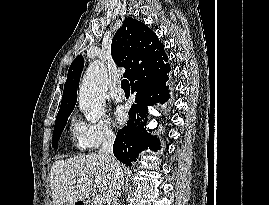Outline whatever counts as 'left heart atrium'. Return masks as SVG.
<instances>
[{
    "instance_id": "1",
    "label": "left heart atrium",
    "mask_w": 269,
    "mask_h": 205,
    "mask_svg": "<svg viewBox=\"0 0 269 205\" xmlns=\"http://www.w3.org/2000/svg\"><path fill=\"white\" fill-rule=\"evenodd\" d=\"M115 118L118 123H123L126 119L125 111L122 108L118 107L115 111Z\"/></svg>"
}]
</instances>
